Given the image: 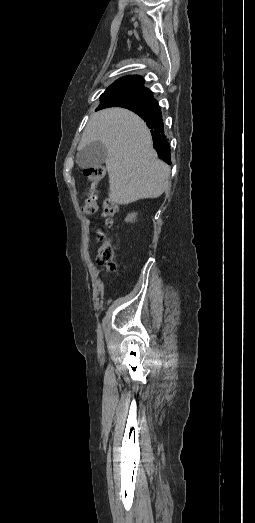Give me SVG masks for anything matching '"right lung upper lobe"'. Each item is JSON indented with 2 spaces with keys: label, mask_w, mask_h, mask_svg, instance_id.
Returning <instances> with one entry per match:
<instances>
[{
  "label": "right lung upper lobe",
  "mask_w": 255,
  "mask_h": 523,
  "mask_svg": "<svg viewBox=\"0 0 255 523\" xmlns=\"http://www.w3.org/2000/svg\"><path fill=\"white\" fill-rule=\"evenodd\" d=\"M144 80L141 76L131 75L118 79L110 85L101 96V104L96 110L107 107H124L144 119L148 128L151 129L153 147L158 152L160 159L171 164L170 146L164 134L162 115L157 101L153 98L149 89L143 87ZM127 90H142L146 92L147 99L143 102H119L103 97L108 92H120Z\"/></svg>",
  "instance_id": "cb5924a9"
}]
</instances>
